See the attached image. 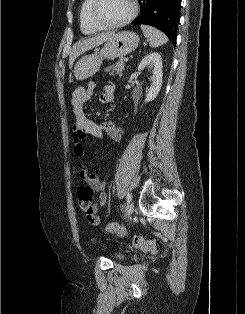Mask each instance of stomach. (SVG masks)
Wrapping results in <instances>:
<instances>
[{
  "mask_svg": "<svg viewBox=\"0 0 245 314\" xmlns=\"http://www.w3.org/2000/svg\"><path fill=\"white\" fill-rule=\"evenodd\" d=\"M139 44V36L132 31L114 33L103 48L95 54L82 57L75 65L74 76L77 80L92 77L100 70L104 59L124 57L134 51Z\"/></svg>",
  "mask_w": 245,
  "mask_h": 314,
  "instance_id": "obj_1",
  "label": "stomach"
}]
</instances>
